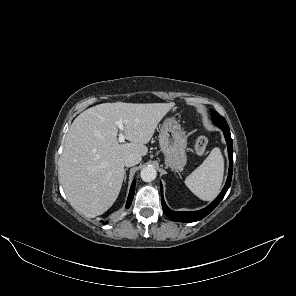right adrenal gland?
Returning a JSON list of instances; mask_svg holds the SVG:
<instances>
[{"label": "right adrenal gland", "instance_id": "2a0ac1e0", "mask_svg": "<svg viewBox=\"0 0 296 296\" xmlns=\"http://www.w3.org/2000/svg\"><path fill=\"white\" fill-rule=\"evenodd\" d=\"M126 170H127V169H125V171H124V181H126V178H127Z\"/></svg>", "mask_w": 296, "mask_h": 296}]
</instances>
